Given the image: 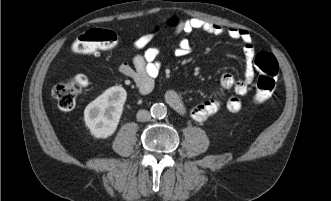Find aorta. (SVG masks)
<instances>
[{"mask_svg": "<svg viewBox=\"0 0 331 201\" xmlns=\"http://www.w3.org/2000/svg\"><path fill=\"white\" fill-rule=\"evenodd\" d=\"M167 114V107L163 103H155L151 107V115L156 119H163Z\"/></svg>", "mask_w": 331, "mask_h": 201, "instance_id": "obj_1", "label": "aorta"}]
</instances>
